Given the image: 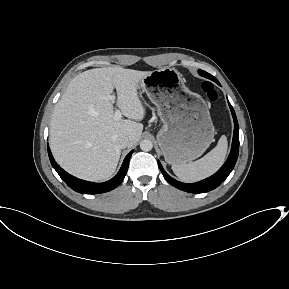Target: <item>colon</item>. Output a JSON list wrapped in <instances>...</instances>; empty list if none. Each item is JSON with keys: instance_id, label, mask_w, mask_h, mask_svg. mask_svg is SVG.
<instances>
[{"instance_id": "5ec220e1", "label": "colon", "mask_w": 289, "mask_h": 289, "mask_svg": "<svg viewBox=\"0 0 289 289\" xmlns=\"http://www.w3.org/2000/svg\"><path fill=\"white\" fill-rule=\"evenodd\" d=\"M200 88L209 101L214 102L217 99V92L210 82H202Z\"/></svg>"}]
</instances>
